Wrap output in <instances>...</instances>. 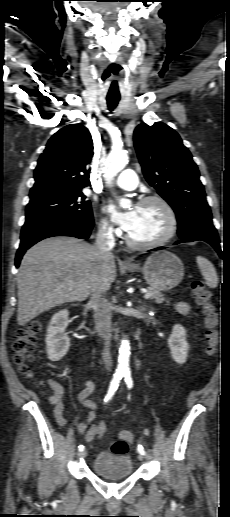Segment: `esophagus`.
I'll return each mask as SVG.
<instances>
[{
  "instance_id": "obj_1",
  "label": "esophagus",
  "mask_w": 230,
  "mask_h": 517,
  "mask_svg": "<svg viewBox=\"0 0 230 517\" xmlns=\"http://www.w3.org/2000/svg\"><path fill=\"white\" fill-rule=\"evenodd\" d=\"M123 264H125V265H129V264H130V261H128V260H124V261H123Z\"/></svg>"
}]
</instances>
